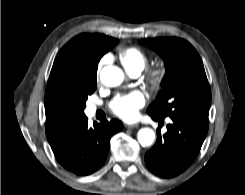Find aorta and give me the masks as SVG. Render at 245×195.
<instances>
[{"mask_svg":"<svg viewBox=\"0 0 245 195\" xmlns=\"http://www.w3.org/2000/svg\"><path fill=\"white\" fill-rule=\"evenodd\" d=\"M100 80L105 86L116 87L123 82L124 73L117 66H106L100 72ZM137 139L143 147L150 146L155 140V132L151 128H141Z\"/></svg>","mask_w":245,"mask_h":195,"instance_id":"1","label":"aorta"}]
</instances>
